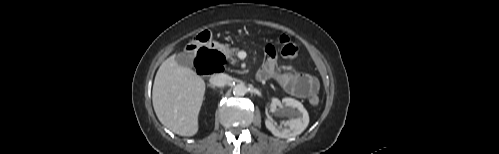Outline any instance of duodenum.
I'll return each mask as SVG.
<instances>
[{"label":"duodenum","instance_id":"duodenum-1","mask_svg":"<svg viewBox=\"0 0 499 154\" xmlns=\"http://www.w3.org/2000/svg\"><path fill=\"white\" fill-rule=\"evenodd\" d=\"M213 64L214 59L203 54L197 58L196 69L198 73L202 75L213 74L218 72L214 68Z\"/></svg>","mask_w":499,"mask_h":154}]
</instances>
